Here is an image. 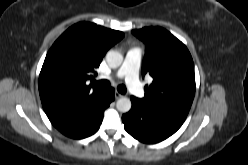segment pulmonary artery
Instances as JSON below:
<instances>
[{
	"mask_svg": "<svg viewBox=\"0 0 248 165\" xmlns=\"http://www.w3.org/2000/svg\"><path fill=\"white\" fill-rule=\"evenodd\" d=\"M142 57V50L138 47L131 48L124 59L120 69L112 76H103L102 78L113 79L124 78L130 91L138 98L144 96V89L139 81V67Z\"/></svg>",
	"mask_w": 248,
	"mask_h": 165,
	"instance_id": "obj_1",
	"label": "pulmonary artery"
}]
</instances>
